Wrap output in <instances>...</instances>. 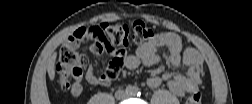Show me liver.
Wrapping results in <instances>:
<instances>
[{"mask_svg": "<svg viewBox=\"0 0 252 104\" xmlns=\"http://www.w3.org/2000/svg\"><path fill=\"white\" fill-rule=\"evenodd\" d=\"M57 54L53 53L52 56L49 58L47 72L50 80H54L55 78V61H56Z\"/></svg>", "mask_w": 252, "mask_h": 104, "instance_id": "obj_1", "label": "liver"}]
</instances>
